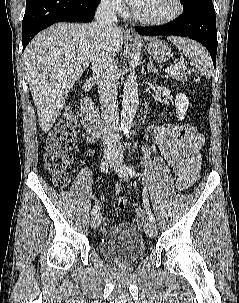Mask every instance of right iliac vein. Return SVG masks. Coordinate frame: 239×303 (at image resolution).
Here are the masks:
<instances>
[{
	"mask_svg": "<svg viewBox=\"0 0 239 303\" xmlns=\"http://www.w3.org/2000/svg\"><path fill=\"white\" fill-rule=\"evenodd\" d=\"M105 161L107 164L109 165H113L115 162V158L111 155H106L105 156ZM101 222V213H97L95 215L92 216L91 221H90V225L93 229H96L97 227H99Z\"/></svg>",
	"mask_w": 239,
	"mask_h": 303,
	"instance_id": "63e3f726",
	"label": "right iliac vein"
}]
</instances>
